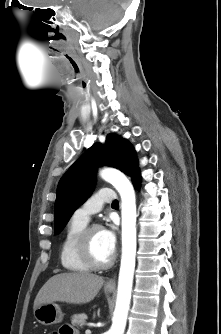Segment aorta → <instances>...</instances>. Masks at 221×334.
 <instances>
[{"instance_id": "obj_1", "label": "aorta", "mask_w": 221, "mask_h": 334, "mask_svg": "<svg viewBox=\"0 0 221 334\" xmlns=\"http://www.w3.org/2000/svg\"><path fill=\"white\" fill-rule=\"evenodd\" d=\"M100 176L111 183L121 197L122 256L118 278L116 306L109 334H124L131 301L136 257V199L127 177L116 169L106 168Z\"/></svg>"}]
</instances>
